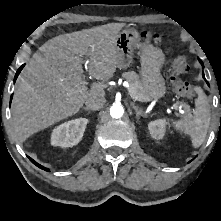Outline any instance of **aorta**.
<instances>
[{
	"label": "aorta",
	"mask_w": 221,
	"mask_h": 221,
	"mask_svg": "<svg viewBox=\"0 0 221 221\" xmlns=\"http://www.w3.org/2000/svg\"><path fill=\"white\" fill-rule=\"evenodd\" d=\"M124 114V108L121 104H113L110 107V115L114 119L121 118Z\"/></svg>",
	"instance_id": "obj_1"
}]
</instances>
